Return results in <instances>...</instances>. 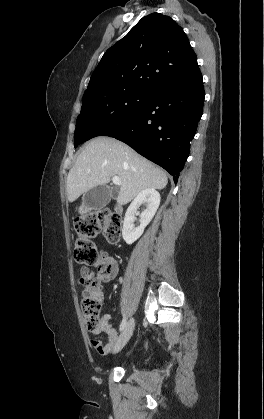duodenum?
Masks as SVG:
<instances>
[{
	"label": "duodenum",
	"instance_id": "obj_1",
	"mask_svg": "<svg viewBox=\"0 0 264 419\" xmlns=\"http://www.w3.org/2000/svg\"><path fill=\"white\" fill-rule=\"evenodd\" d=\"M116 211L117 212H120L121 211V208L120 207H116Z\"/></svg>",
	"mask_w": 264,
	"mask_h": 419
}]
</instances>
